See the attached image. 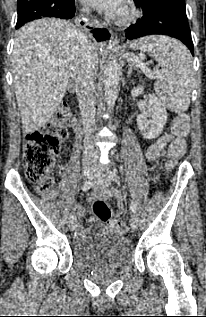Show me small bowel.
Wrapping results in <instances>:
<instances>
[{"label":"small bowel","mask_w":206,"mask_h":317,"mask_svg":"<svg viewBox=\"0 0 206 317\" xmlns=\"http://www.w3.org/2000/svg\"><path fill=\"white\" fill-rule=\"evenodd\" d=\"M173 139L172 135L170 134H165L163 136H161L160 138H158L153 144H151L145 151V156L147 159L152 160V161H157L159 160L161 157L164 156L165 154V148L167 146V144ZM115 194V192H112L110 190H106L100 187H97L95 189V191L92 194V197L94 199H98V198H107L110 195ZM55 193L52 194V196H54ZM119 209L122 210V205L121 203L119 204ZM74 212L76 213L77 216H81L84 213V210L78 206L75 205L74 206ZM116 221L114 219H112V222ZM90 223L93 226H99L100 225V220L97 217H91L90 218ZM110 227H111V223H110ZM101 229L103 231L107 230L108 228L105 226H102ZM89 234V230L82 228L80 226H78L77 231L75 233V236L77 239H82L85 238L87 235Z\"/></svg>","instance_id":"obj_1"}]
</instances>
